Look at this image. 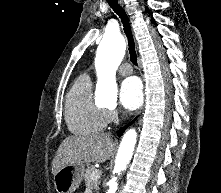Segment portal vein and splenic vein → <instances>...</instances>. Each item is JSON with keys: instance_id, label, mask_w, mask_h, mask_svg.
Returning <instances> with one entry per match:
<instances>
[{"instance_id": "portal-vein-and-splenic-vein-1", "label": "portal vein and splenic vein", "mask_w": 221, "mask_h": 193, "mask_svg": "<svg viewBox=\"0 0 221 193\" xmlns=\"http://www.w3.org/2000/svg\"><path fill=\"white\" fill-rule=\"evenodd\" d=\"M101 174L100 170H95L92 174H91V179H96L99 177V175Z\"/></svg>"}]
</instances>
